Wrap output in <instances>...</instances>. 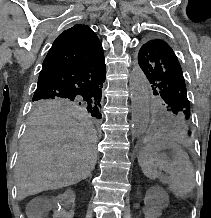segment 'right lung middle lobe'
Here are the masks:
<instances>
[{"label": "right lung middle lobe", "mask_w": 211, "mask_h": 218, "mask_svg": "<svg viewBox=\"0 0 211 218\" xmlns=\"http://www.w3.org/2000/svg\"><path fill=\"white\" fill-rule=\"evenodd\" d=\"M33 106L35 109H46L65 106H79L87 109L91 116L101 118V98H61V97H45L33 98Z\"/></svg>", "instance_id": "obj_1"}]
</instances>
